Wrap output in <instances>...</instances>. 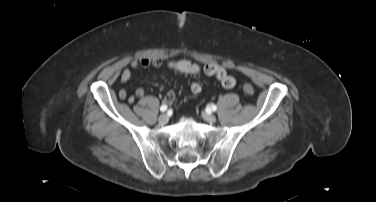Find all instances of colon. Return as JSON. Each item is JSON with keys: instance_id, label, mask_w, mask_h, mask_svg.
I'll list each match as a JSON object with an SVG mask.
<instances>
[{"instance_id": "obj_1", "label": "colon", "mask_w": 376, "mask_h": 202, "mask_svg": "<svg viewBox=\"0 0 376 202\" xmlns=\"http://www.w3.org/2000/svg\"><path fill=\"white\" fill-rule=\"evenodd\" d=\"M243 92H244L246 95L251 96V95L254 94V87H253L251 84H249V83H245V84L243 85Z\"/></svg>"}]
</instances>
